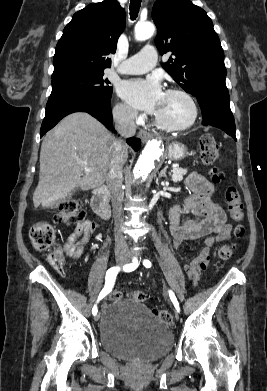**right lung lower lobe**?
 <instances>
[{"label": "right lung lower lobe", "instance_id": "right-lung-lower-lobe-1", "mask_svg": "<svg viewBox=\"0 0 267 391\" xmlns=\"http://www.w3.org/2000/svg\"><path fill=\"white\" fill-rule=\"evenodd\" d=\"M73 112H87L98 119L109 130L112 128L113 118L110 101L83 95H66L48 100L45 118L43 120L40 136L53 128L63 117ZM127 143L137 151L141 146L138 138L127 139Z\"/></svg>", "mask_w": 267, "mask_h": 391}]
</instances>
